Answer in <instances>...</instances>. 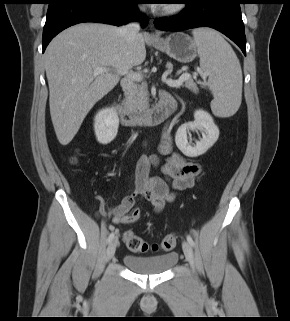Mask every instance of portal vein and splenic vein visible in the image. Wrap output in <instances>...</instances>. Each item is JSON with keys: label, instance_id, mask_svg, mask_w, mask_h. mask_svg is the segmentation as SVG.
<instances>
[{"label": "portal vein and splenic vein", "instance_id": "18ae733b", "mask_svg": "<svg viewBox=\"0 0 290 321\" xmlns=\"http://www.w3.org/2000/svg\"><path fill=\"white\" fill-rule=\"evenodd\" d=\"M105 71H106L105 68L97 67L94 69L93 73H94V75H99ZM124 75H126L129 78L135 79L137 81H141L143 79V77L141 75L136 74L134 72H125ZM190 78H191V75L188 73H185V74H182L177 80L167 79L165 77L164 81L166 82L167 85H169L171 87H179L184 83V81H186Z\"/></svg>", "mask_w": 290, "mask_h": 321}]
</instances>
